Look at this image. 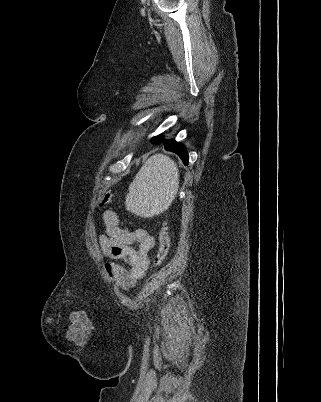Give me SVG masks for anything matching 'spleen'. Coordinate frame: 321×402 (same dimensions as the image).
I'll list each match as a JSON object with an SVG mask.
<instances>
[{
	"label": "spleen",
	"mask_w": 321,
	"mask_h": 402,
	"mask_svg": "<svg viewBox=\"0 0 321 402\" xmlns=\"http://www.w3.org/2000/svg\"><path fill=\"white\" fill-rule=\"evenodd\" d=\"M178 188L177 164L166 155L155 154L144 163L130 184L126 209L141 217L162 213L175 199Z\"/></svg>",
	"instance_id": "1"
}]
</instances>
